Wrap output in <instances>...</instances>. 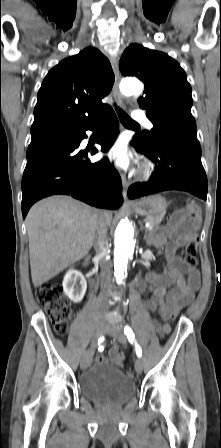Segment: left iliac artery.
<instances>
[{"label":"left iliac artery","instance_id":"44dca946","mask_svg":"<svg viewBox=\"0 0 221 448\" xmlns=\"http://www.w3.org/2000/svg\"><path fill=\"white\" fill-rule=\"evenodd\" d=\"M124 334L127 336L129 342L131 343H135V347H136V354L138 357L142 356V349L141 347L137 344L136 339H135V335L132 331V329L129 326H125L124 327Z\"/></svg>","mask_w":221,"mask_h":448}]
</instances>
